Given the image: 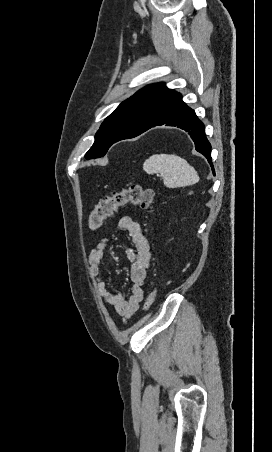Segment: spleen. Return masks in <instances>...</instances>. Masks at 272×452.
<instances>
[{
  "label": "spleen",
  "instance_id": "3e777b00",
  "mask_svg": "<svg viewBox=\"0 0 272 452\" xmlns=\"http://www.w3.org/2000/svg\"><path fill=\"white\" fill-rule=\"evenodd\" d=\"M148 174L160 173L169 188L189 186L199 181L196 170L183 158L174 154H155L143 164Z\"/></svg>",
  "mask_w": 272,
  "mask_h": 452
}]
</instances>
